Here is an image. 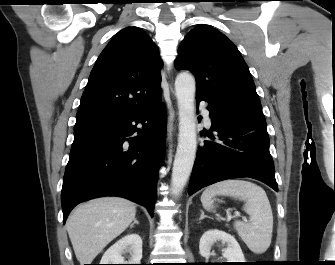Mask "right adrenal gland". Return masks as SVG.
I'll return each instance as SVG.
<instances>
[{
    "instance_id": "1",
    "label": "right adrenal gland",
    "mask_w": 335,
    "mask_h": 265,
    "mask_svg": "<svg viewBox=\"0 0 335 265\" xmlns=\"http://www.w3.org/2000/svg\"><path fill=\"white\" fill-rule=\"evenodd\" d=\"M134 224H139V222L136 220V219H134V222L130 225V228H133L134 227Z\"/></svg>"
}]
</instances>
